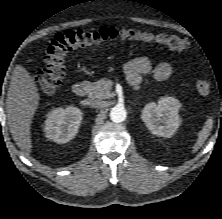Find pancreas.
<instances>
[{"label": "pancreas", "mask_w": 222, "mask_h": 219, "mask_svg": "<svg viewBox=\"0 0 222 219\" xmlns=\"http://www.w3.org/2000/svg\"><path fill=\"white\" fill-rule=\"evenodd\" d=\"M106 84V79H100L96 83H89V96L98 99H106L110 97V87Z\"/></svg>", "instance_id": "obj_1"}]
</instances>
